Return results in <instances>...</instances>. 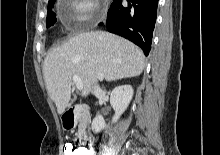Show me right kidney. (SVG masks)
<instances>
[{
	"label": "right kidney",
	"instance_id": "ca27d5eb",
	"mask_svg": "<svg viewBox=\"0 0 220 155\" xmlns=\"http://www.w3.org/2000/svg\"><path fill=\"white\" fill-rule=\"evenodd\" d=\"M133 88L130 85H122L113 89L110 96V104L115 110L112 122H117L123 112L127 109L133 97ZM106 127L102 116H96L92 121V130L95 133L100 132Z\"/></svg>",
	"mask_w": 220,
	"mask_h": 155
}]
</instances>
